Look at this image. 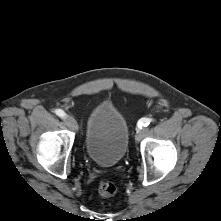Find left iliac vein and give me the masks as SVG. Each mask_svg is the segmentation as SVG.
Instances as JSON below:
<instances>
[{"mask_svg":"<svg viewBox=\"0 0 221 221\" xmlns=\"http://www.w3.org/2000/svg\"><path fill=\"white\" fill-rule=\"evenodd\" d=\"M145 133H146V129H144V128L143 129H138L137 132H136V135H135V140L137 142H139L142 139V137Z\"/></svg>","mask_w":221,"mask_h":221,"instance_id":"4c4485c4","label":"left iliac vein"}]
</instances>
